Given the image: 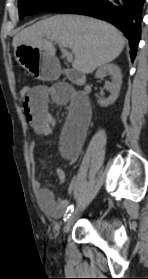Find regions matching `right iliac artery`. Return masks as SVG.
Here are the masks:
<instances>
[{"label":"right iliac artery","instance_id":"1","mask_svg":"<svg viewBox=\"0 0 148 279\" xmlns=\"http://www.w3.org/2000/svg\"><path fill=\"white\" fill-rule=\"evenodd\" d=\"M73 210H74V206L73 205H70L67 208V210L65 211V214H64V221H66L70 217V215L73 212Z\"/></svg>","mask_w":148,"mask_h":279}]
</instances>
